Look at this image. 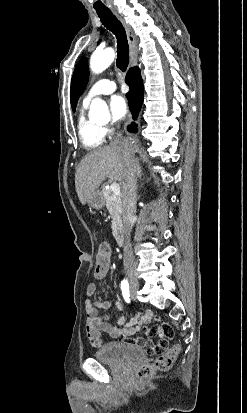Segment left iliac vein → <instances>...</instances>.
Masks as SVG:
<instances>
[{
	"label": "left iliac vein",
	"instance_id": "obj_1",
	"mask_svg": "<svg viewBox=\"0 0 247 413\" xmlns=\"http://www.w3.org/2000/svg\"><path fill=\"white\" fill-rule=\"evenodd\" d=\"M131 298H132L133 301L136 300V292L133 289L131 291Z\"/></svg>",
	"mask_w": 247,
	"mask_h": 413
}]
</instances>
